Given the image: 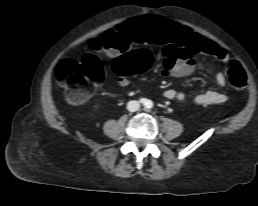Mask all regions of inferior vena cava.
<instances>
[{"instance_id": "obj_1", "label": "inferior vena cava", "mask_w": 258, "mask_h": 206, "mask_svg": "<svg viewBox=\"0 0 258 206\" xmlns=\"http://www.w3.org/2000/svg\"><path fill=\"white\" fill-rule=\"evenodd\" d=\"M140 104L136 100L129 101L127 104V109L131 112H135L139 109Z\"/></svg>"}]
</instances>
